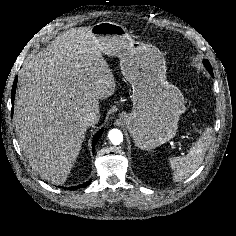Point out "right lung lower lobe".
<instances>
[{"label": "right lung lower lobe", "instance_id": "1", "mask_svg": "<svg viewBox=\"0 0 236 236\" xmlns=\"http://www.w3.org/2000/svg\"><path fill=\"white\" fill-rule=\"evenodd\" d=\"M16 86H17V77L15 78L14 80V83H13V86H12V92H11V100H12V111H11V114H13V105H14V97H15V91H16ZM103 132V129H101L94 137V140L92 142V145H93V150H94V147H95V144L99 138V136L102 134ZM90 184V180L87 181L86 183H84L83 185H80V186H77V187H72V188H80V187H86Z\"/></svg>", "mask_w": 236, "mask_h": 236}]
</instances>
